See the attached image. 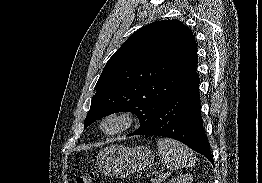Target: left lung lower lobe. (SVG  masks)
<instances>
[{
  "instance_id": "1",
  "label": "left lung lower lobe",
  "mask_w": 262,
  "mask_h": 183,
  "mask_svg": "<svg viewBox=\"0 0 262 183\" xmlns=\"http://www.w3.org/2000/svg\"><path fill=\"white\" fill-rule=\"evenodd\" d=\"M197 63L153 114L149 125L133 135H159L176 139L205 156L213 165L201 116Z\"/></svg>"
}]
</instances>
